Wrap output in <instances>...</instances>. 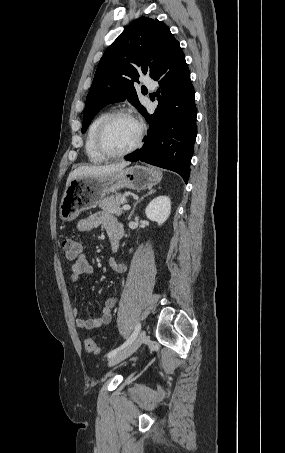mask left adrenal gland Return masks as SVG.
Wrapping results in <instances>:
<instances>
[{
	"label": "left adrenal gland",
	"mask_w": 285,
	"mask_h": 453,
	"mask_svg": "<svg viewBox=\"0 0 285 453\" xmlns=\"http://www.w3.org/2000/svg\"><path fill=\"white\" fill-rule=\"evenodd\" d=\"M155 192H156V190H150L146 195L142 196L137 202H135V204H134V206H133V208H132V210H131V212H130V214L128 216V220H131V217L134 214V211H135V208H136L137 204L140 203L144 198H146L147 196H149V195H151V194H153Z\"/></svg>",
	"instance_id": "obj_1"
}]
</instances>
